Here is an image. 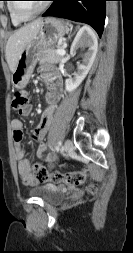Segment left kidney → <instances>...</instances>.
I'll use <instances>...</instances> for the list:
<instances>
[{
  "instance_id": "obj_1",
  "label": "left kidney",
  "mask_w": 133,
  "mask_h": 253,
  "mask_svg": "<svg viewBox=\"0 0 133 253\" xmlns=\"http://www.w3.org/2000/svg\"><path fill=\"white\" fill-rule=\"evenodd\" d=\"M86 47L88 51L84 54L81 64H78L77 71L73 78L66 79V91H74L84 80L95 60L98 41L95 33L89 27H82L71 45L70 53L75 54L78 48Z\"/></svg>"
}]
</instances>
